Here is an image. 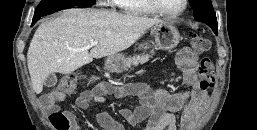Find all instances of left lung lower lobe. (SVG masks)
Segmentation results:
<instances>
[{
    "instance_id": "left-lung-lower-lobe-1",
    "label": "left lung lower lobe",
    "mask_w": 257,
    "mask_h": 130,
    "mask_svg": "<svg viewBox=\"0 0 257 130\" xmlns=\"http://www.w3.org/2000/svg\"><path fill=\"white\" fill-rule=\"evenodd\" d=\"M215 34H217V29H214Z\"/></svg>"
}]
</instances>
